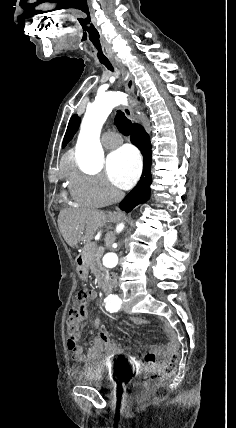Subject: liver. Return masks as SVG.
Returning a JSON list of instances; mask_svg holds the SVG:
<instances>
[{
  "label": "liver",
  "mask_w": 236,
  "mask_h": 428,
  "mask_svg": "<svg viewBox=\"0 0 236 428\" xmlns=\"http://www.w3.org/2000/svg\"><path fill=\"white\" fill-rule=\"evenodd\" d=\"M108 218L99 210H85V212H60L58 228L68 246L74 248L78 242H90L95 232L106 226ZM114 238H112L113 242Z\"/></svg>",
  "instance_id": "1"
}]
</instances>
